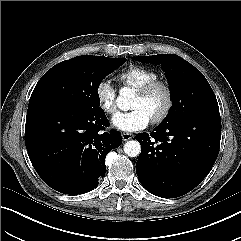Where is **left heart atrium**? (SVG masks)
I'll return each instance as SVG.
<instances>
[{"label": "left heart atrium", "mask_w": 241, "mask_h": 241, "mask_svg": "<svg viewBox=\"0 0 241 241\" xmlns=\"http://www.w3.org/2000/svg\"><path fill=\"white\" fill-rule=\"evenodd\" d=\"M112 121L118 129L134 132L146 128L150 122V117L144 110L136 108L128 112L117 113Z\"/></svg>", "instance_id": "obj_1"}]
</instances>
